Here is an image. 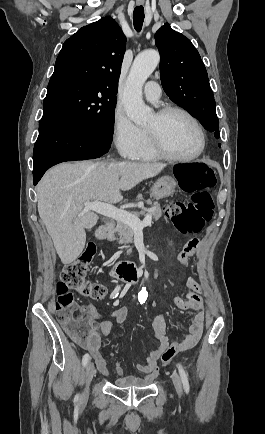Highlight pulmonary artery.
<instances>
[{"instance_id": "pulmonary-artery-1", "label": "pulmonary artery", "mask_w": 265, "mask_h": 434, "mask_svg": "<svg viewBox=\"0 0 265 434\" xmlns=\"http://www.w3.org/2000/svg\"><path fill=\"white\" fill-rule=\"evenodd\" d=\"M145 94L150 100H152V101L157 100L158 96L160 95L159 82L158 81H147Z\"/></svg>"}]
</instances>
